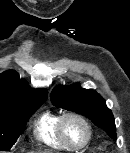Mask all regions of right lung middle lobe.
I'll return each instance as SVG.
<instances>
[{
  "mask_svg": "<svg viewBox=\"0 0 130 153\" xmlns=\"http://www.w3.org/2000/svg\"><path fill=\"white\" fill-rule=\"evenodd\" d=\"M43 102H36L17 110H0V151H9L23 133L29 117Z\"/></svg>",
  "mask_w": 130,
  "mask_h": 153,
  "instance_id": "dd1d6c3e",
  "label": "right lung middle lobe"
}]
</instances>
